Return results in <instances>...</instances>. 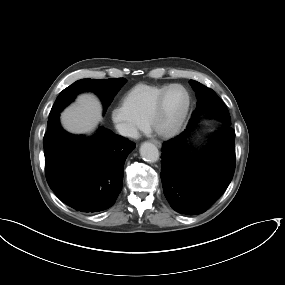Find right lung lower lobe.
<instances>
[{
	"instance_id": "1",
	"label": "right lung lower lobe",
	"mask_w": 285,
	"mask_h": 285,
	"mask_svg": "<svg viewBox=\"0 0 285 285\" xmlns=\"http://www.w3.org/2000/svg\"><path fill=\"white\" fill-rule=\"evenodd\" d=\"M43 145L48 185L64 203L84 213L113 206L125 160L136 146L104 127L91 138L69 134L59 119L47 130Z\"/></svg>"
}]
</instances>
